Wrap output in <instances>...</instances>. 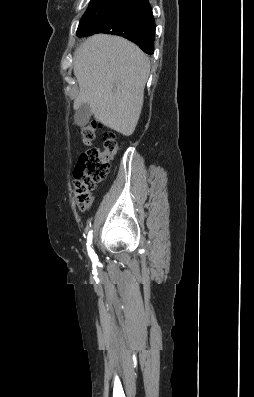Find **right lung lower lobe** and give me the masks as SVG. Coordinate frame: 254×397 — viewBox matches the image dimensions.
I'll use <instances>...</instances> for the list:
<instances>
[{
    "label": "right lung lower lobe",
    "mask_w": 254,
    "mask_h": 397,
    "mask_svg": "<svg viewBox=\"0 0 254 397\" xmlns=\"http://www.w3.org/2000/svg\"><path fill=\"white\" fill-rule=\"evenodd\" d=\"M105 33L123 36L144 52H154L155 22L148 0H106L77 31V36Z\"/></svg>",
    "instance_id": "right-lung-lower-lobe-1"
}]
</instances>
